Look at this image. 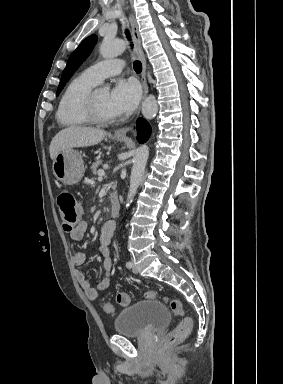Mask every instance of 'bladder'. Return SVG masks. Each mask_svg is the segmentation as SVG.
Instances as JSON below:
<instances>
[{
	"mask_svg": "<svg viewBox=\"0 0 283 384\" xmlns=\"http://www.w3.org/2000/svg\"><path fill=\"white\" fill-rule=\"evenodd\" d=\"M170 317V312L161 301L138 300L119 311L113 329L116 335L143 337L163 328L169 323Z\"/></svg>",
	"mask_w": 283,
	"mask_h": 384,
	"instance_id": "31cf9c89",
	"label": "bladder"
}]
</instances>
